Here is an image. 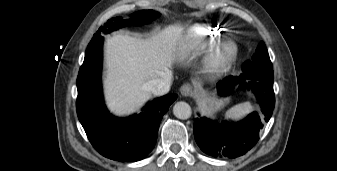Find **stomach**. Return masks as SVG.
<instances>
[{"mask_svg":"<svg viewBox=\"0 0 337 171\" xmlns=\"http://www.w3.org/2000/svg\"><path fill=\"white\" fill-rule=\"evenodd\" d=\"M227 102V100H217V99H213L211 102H210V105H209V110L210 111H215V110H218L220 109L221 107H223L225 105V103Z\"/></svg>","mask_w":337,"mask_h":171,"instance_id":"stomach-1","label":"stomach"}]
</instances>
